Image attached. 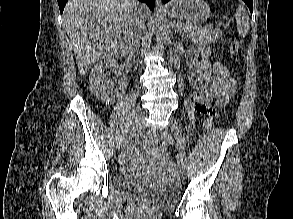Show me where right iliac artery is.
I'll return each mask as SVG.
<instances>
[{"label": "right iliac artery", "mask_w": 293, "mask_h": 219, "mask_svg": "<svg viewBox=\"0 0 293 219\" xmlns=\"http://www.w3.org/2000/svg\"><path fill=\"white\" fill-rule=\"evenodd\" d=\"M125 136H126V134H125V135H123V136L121 137V139H122V138H124Z\"/></svg>", "instance_id": "1"}]
</instances>
